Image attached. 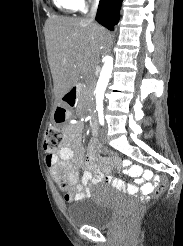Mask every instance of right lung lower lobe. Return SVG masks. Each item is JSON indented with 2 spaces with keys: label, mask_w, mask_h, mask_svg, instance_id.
<instances>
[{
  "label": "right lung lower lobe",
  "mask_w": 183,
  "mask_h": 246,
  "mask_svg": "<svg viewBox=\"0 0 183 246\" xmlns=\"http://www.w3.org/2000/svg\"><path fill=\"white\" fill-rule=\"evenodd\" d=\"M123 0H100L96 20L108 28L114 29L120 18V8Z\"/></svg>",
  "instance_id": "obj_1"
}]
</instances>
